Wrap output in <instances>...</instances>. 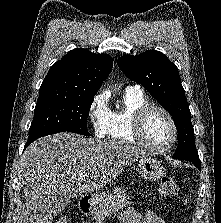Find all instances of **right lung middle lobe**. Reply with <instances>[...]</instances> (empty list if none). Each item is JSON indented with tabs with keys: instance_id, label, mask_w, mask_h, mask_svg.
<instances>
[{
	"instance_id": "right-lung-middle-lobe-1",
	"label": "right lung middle lobe",
	"mask_w": 221,
	"mask_h": 223,
	"mask_svg": "<svg viewBox=\"0 0 221 223\" xmlns=\"http://www.w3.org/2000/svg\"><path fill=\"white\" fill-rule=\"evenodd\" d=\"M94 96L61 97L37 101L28 141L63 131L89 136L87 116Z\"/></svg>"
}]
</instances>
